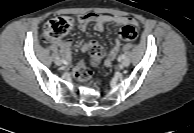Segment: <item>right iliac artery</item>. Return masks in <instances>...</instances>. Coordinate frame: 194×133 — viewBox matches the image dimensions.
Listing matches in <instances>:
<instances>
[{
  "instance_id": "1",
  "label": "right iliac artery",
  "mask_w": 194,
  "mask_h": 133,
  "mask_svg": "<svg viewBox=\"0 0 194 133\" xmlns=\"http://www.w3.org/2000/svg\"><path fill=\"white\" fill-rule=\"evenodd\" d=\"M63 62L66 64L67 62L65 60H63Z\"/></svg>"
}]
</instances>
